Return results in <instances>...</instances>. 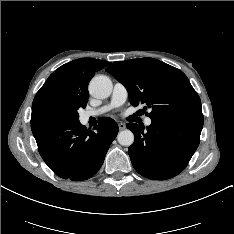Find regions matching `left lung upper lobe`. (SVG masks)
I'll list each match as a JSON object with an SVG mask.
<instances>
[{
  "label": "left lung upper lobe",
  "mask_w": 234,
  "mask_h": 234,
  "mask_svg": "<svg viewBox=\"0 0 234 234\" xmlns=\"http://www.w3.org/2000/svg\"><path fill=\"white\" fill-rule=\"evenodd\" d=\"M123 83L133 106L151 108V120L202 112L201 101L186 75L153 58L117 61L106 69ZM147 107H144L145 109Z\"/></svg>",
  "instance_id": "obj_1"
}]
</instances>
